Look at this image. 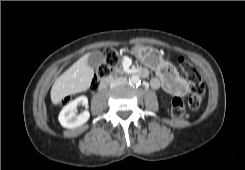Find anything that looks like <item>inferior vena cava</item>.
I'll return each instance as SVG.
<instances>
[{"label":"inferior vena cava","instance_id":"1","mask_svg":"<svg viewBox=\"0 0 245 170\" xmlns=\"http://www.w3.org/2000/svg\"><path fill=\"white\" fill-rule=\"evenodd\" d=\"M127 78L126 77H119L110 82V88H115L118 86H123L127 84Z\"/></svg>","mask_w":245,"mask_h":170}]
</instances>
